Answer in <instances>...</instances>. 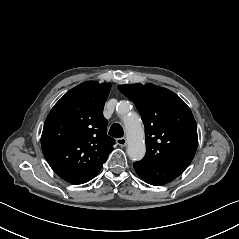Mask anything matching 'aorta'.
<instances>
[{"mask_svg":"<svg viewBox=\"0 0 239 239\" xmlns=\"http://www.w3.org/2000/svg\"><path fill=\"white\" fill-rule=\"evenodd\" d=\"M129 102L121 101L117 113L122 115L129 112ZM126 137L128 139L127 154L134 160L141 159L145 154L144 129L142 123L134 118L125 123Z\"/></svg>","mask_w":239,"mask_h":239,"instance_id":"aorta-1","label":"aorta"}]
</instances>
